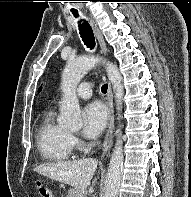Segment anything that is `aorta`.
I'll return each mask as SVG.
<instances>
[{"label": "aorta", "mask_w": 191, "mask_h": 197, "mask_svg": "<svg viewBox=\"0 0 191 197\" xmlns=\"http://www.w3.org/2000/svg\"><path fill=\"white\" fill-rule=\"evenodd\" d=\"M100 62L105 63L101 58L94 56H84L67 62L62 73L61 89L63 98L60 106L61 114L58 118L60 125L75 130L82 128L83 123L79 101L76 96V87L84 75ZM106 72L113 86L117 110L121 111L124 95L121 73L118 67L110 62L106 63ZM120 118L121 115L118 113V119ZM121 135L119 128L116 130L117 140L110 159L104 197H118L124 162Z\"/></svg>", "instance_id": "obj_1"}]
</instances>
